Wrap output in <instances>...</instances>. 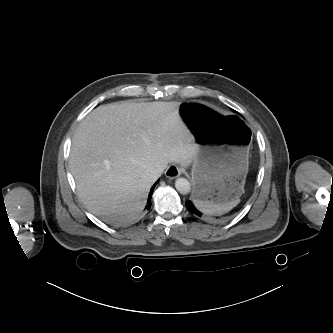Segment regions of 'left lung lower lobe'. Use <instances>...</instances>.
Masks as SVG:
<instances>
[{"label":"left lung lower lobe","mask_w":333,"mask_h":333,"mask_svg":"<svg viewBox=\"0 0 333 333\" xmlns=\"http://www.w3.org/2000/svg\"><path fill=\"white\" fill-rule=\"evenodd\" d=\"M186 207L189 210L190 213L195 214L199 217L202 216V214L194 207L191 201L186 202Z\"/></svg>","instance_id":"obj_1"}]
</instances>
